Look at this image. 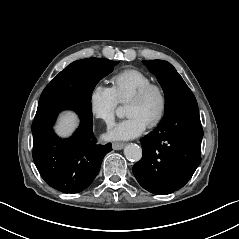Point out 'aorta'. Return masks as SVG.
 Segmentation results:
<instances>
[{"label":"aorta","instance_id":"obj_1","mask_svg":"<svg viewBox=\"0 0 239 239\" xmlns=\"http://www.w3.org/2000/svg\"><path fill=\"white\" fill-rule=\"evenodd\" d=\"M115 115L119 119L125 118V116H126L125 115V106L120 105V106L116 107ZM124 154L127 159L133 160L134 162L140 161L142 159V155H143L141 147L136 144L127 145L124 149Z\"/></svg>","mask_w":239,"mask_h":239}]
</instances>
